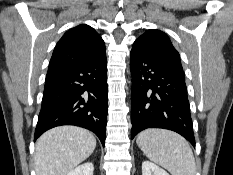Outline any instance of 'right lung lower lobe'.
<instances>
[{"mask_svg":"<svg viewBox=\"0 0 233 175\" xmlns=\"http://www.w3.org/2000/svg\"><path fill=\"white\" fill-rule=\"evenodd\" d=\"M107 93L106 51L47 73L34 141L53 127L75 125L94 132L104 146Z\"/></svg>","mask_w":233,"mask_h":175,"instance_id":"right-lung-lower-lobe-1","label":"right lung lower lobe"}]
</instances>
